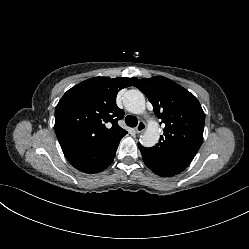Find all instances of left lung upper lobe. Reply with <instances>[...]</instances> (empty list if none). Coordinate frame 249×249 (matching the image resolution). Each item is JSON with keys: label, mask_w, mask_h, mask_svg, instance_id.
<instances>
[{"label": "left lung upper lobe", "mask_w": 249, "mask_h": 249, "mask_svg": "<svg viewBox=\"0 0 249 249\" xmlns=\"http://www.w3.org/2000/svg\"><path fill=\"white\" fill-rule=\"evenodd\" d=\"M133 85L146 95L165 124L159 142L152 148L142 147L160 157L191 163L202 144L205 122L197 98L163 76L136 80Z\"/></svg>", "instance_id": "5c2ea615"}]
</instances>
